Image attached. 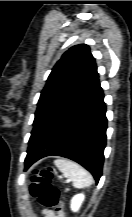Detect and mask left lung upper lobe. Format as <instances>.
I'll return each instance as SVG.
<instances>
[{
	"label": "left lung upper lobe",
	"instance_id": "obj_1",
	"mask_svg": "<svg viewBox=\"0 0 132 217\" xmlns=\"http://www.w3.org/2000/svg\"><path fill=\"white\" fill-rule=\"evenodd\" d=\"M95 59L88 45L71 47L56 63L41 92L29 140V152L67 106L97 78Z\"/></svg>",
	"mask_w": 132,
	"mask_h": 217
}]
</instances>
